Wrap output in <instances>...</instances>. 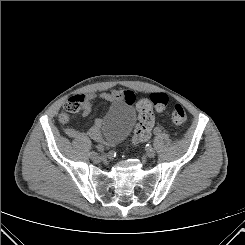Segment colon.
Listing matches in <instances>:
<instances>
[{
  "label": "colon",
  "instance_id": "colon-1",
  "mask_svg": "<svg viewBox=\"0 0 245 245\" xmlns=\"http://www.w3.org/2000/svg\"><path fill=\"white\" fill-rule=\"evenodd\" d=\"M84 99L82 97L71 98L65 105L60 121L66 123L69 116L79 112ZM168 104V97L164 93H154L148 99H142L137 104L138 122L134 130L133 143L138 145L151 137L154 126L153 108L163 110ZM187 119L184 108L177 104L172 112L171 121L175 125L183 124Z\"/></svg>",
  "mask_w": 245,
  "mask_h": 245
}]
</instances>
